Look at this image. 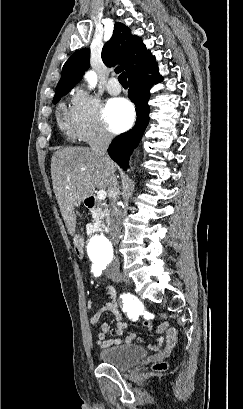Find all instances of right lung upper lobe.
<instances>
[{
	"label": "right lung upper lobe",
	"mask_w": 243,
	"mask_h": 409,
	"mask_svg": "<svg viewBox=\"0 0 243 409\" xmlns=\"http://www.w3.org/2000/svg\"><path fill=\"white\" fill-rule=\"evenodd\" d=\"M102 60L108 67L120 64L116 72L125 70L128 80L145 74L157 67L154 56L146 49L140 37L131 34L122 23H116L112 38L102 49ZM90 61L88 48L75 52L64 64L62 76L56 87V94H67L81 79Z\"/></svg>",
	"instance_id": "obj_1"
}]
</instances>
